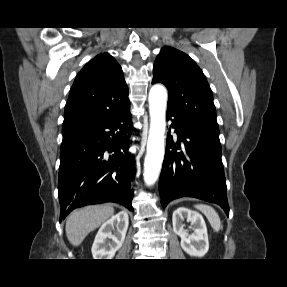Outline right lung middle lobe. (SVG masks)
I'll use <instances>...</instances> for the list:
<instances>
[{
  "label": "right lung middle lobe",
  "instance_id": "1",
  "mask_svg": "<svg viewBox=\"0 0 287 287\" xmlns=\"http://www.w3.org/2000/svg\"><path fill=\"white\" fill-rule=\"evenodd\" d=\"M79 127H82V126H68V127H63V128H62V132H66V131H68V130L75 129V128H79Z\"/></svg>",
  "mask_w": 287,
  "mask_h": 287
}]
</instances>
